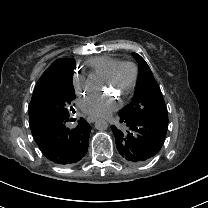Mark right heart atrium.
Instances as JSON below:
<instances>
[{
    "label": "right heart atrium",
    "mask_w": 208,
    "mask_h": 208,
    "mask_svg": "<svg viewBox=\"0 0 208 208\" xmlns=\"http://www.w3.org/2000/svg\"><path fill=\"white\" fill-rule=\"evenodd\" d=\"M71 85L77 96H86L91 92L89 78L79 71L74 72L71 79Z\"/></svg>",
    "instance_id": "1"
}]
</instances>
